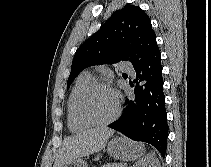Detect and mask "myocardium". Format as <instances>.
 <instances>
[{
	"label": "myocardium",
	"mask_w": 211,
	"mask_h": 167,
	"mask_svg": "<svg viewBox=\"0 0 211 167\" xmlns=\"http://www.w3.org/2000/svg\"><path fill=\"white\" fill-rule=\"evenodd\" d=\"M94 88H104L106 90H108L115 101V111L113 113V115L108 118L107 120L104 121H96L93 120L91 118H89L87 115H85V113L82 110V101L83 98L85 97V95L91 91ZM75 114L77 116V118L82 121L83 123L89 125V126H106L111 124L112 122H114L119 114H120V101H119V97L116 94V92L113 90V88L106 82L101 81V80H91L88 84H86L78 93L76 100H75Z\"/></svg>",
	"instance_id": "1"
}]
</instances>
